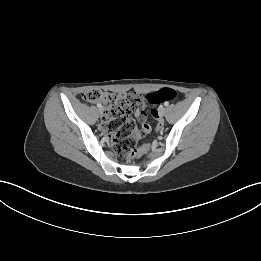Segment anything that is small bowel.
<instances>
[{
  "instance_id": "c3829d8e",
  "label": "small bowel",
  "mask_w": 261,
  "mask_h": 261,
  "mask_svg": "<svg viewBox=\"0 0 261 261\" xmlns=\"http://www.w3.org/2000/svg\"><path fill=\"white\" fill-rule=\"evenodd\" d=\"M131 97L137 102L138 108L136 109L134 115L135 117L141 121L145 122L147 119V113L145 111V106L147 104V99L146 97L142 96L141 94L137 92H131ZM105 120V116L103 117V122ZM142 130L144 133L142 134V137H145L147 134H150L153 131V128L148 124L144 123L142 126Z\"/></svg>"
}]
</instances>
